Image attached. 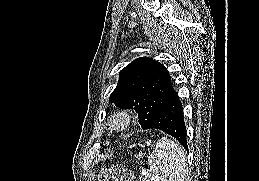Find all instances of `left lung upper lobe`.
I'll return each instance as SVG.
<instances>
[{"label":"left lung upper lobe","mask_w":259,"mask_h":181,"mask_svg":"<svg viewBox=\"0 0 259 181\" xmlns=\"http://www.w3.org/2000/svg\"><path fill=\"white\" fill-rule=\"evenodd\" d=\"M168 70L152 58L141 57L120 71L109 101L119 108L134 109L144 129L173 92Z\"/></svg>","instance_id":"left-lung-upper-lobe-1"}]
</instances>
